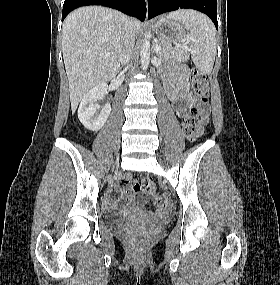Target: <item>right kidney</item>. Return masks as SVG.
I'll return each instance as SVG.
<instances>
[{
  "label": "right kidney",
  "mask_w": 280,
  "mask_h": 285,
  "mask_svg": "<svg viewBox=\"0 0 280 285\" xmlns=\"http://www.w3.org/2000/svg\"><path fill=\"white\" fill-rule=\"evenodd\" d=\"M107 89L108 87L105 83L96 85L83 97L80 103L78 118L90 131L97 132L100 130L110 115V104H105L100 112L98 111L100 107L96 104L97 100L107 94Z\"/></svg>",
  "instance_id": "right-kidney-1"
}]
</instances>
